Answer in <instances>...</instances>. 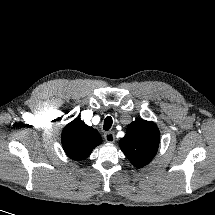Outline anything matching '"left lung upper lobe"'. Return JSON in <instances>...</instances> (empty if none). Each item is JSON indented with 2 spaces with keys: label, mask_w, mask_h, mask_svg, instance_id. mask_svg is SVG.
I'll use <instances>...</instances> for the list:
<instances>
[{
  "label": "left lung upper lobe",
  "mask_w": 215,
  "mask_h": 215,
  "mask_svg": "<svg viewBox=\"0 0 215 215\" xmlns=\"http://www.w3.org/2000/svg\"><path fill=\"white\" fill-rule=\"evenodd\" d=\"M160 132L154 122L135 120L128 125L120 148L137 168L147 165L157 153Z\"/></svg>",
  "instance_id": "5c2ea615"
}]
</instances>
